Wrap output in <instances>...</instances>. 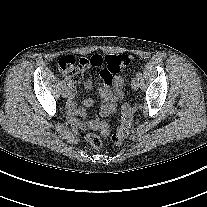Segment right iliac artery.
<instances>
[{"mask_svg":"<svg viewBox=\"0 0 207 207\" xmlns=\"http://www.w3.org/2000/svg\"><path fill=\"white\" fill-rule=\"evenodd\" d=\"M61 85L62 87H66V83L64 81L61 82ZM68 86L71 87L70 84H68Z\"/></svg>","mask_w":207,"mask_h":207,"instance_id":"1","label":"right iliac artery"}]
</instances>
